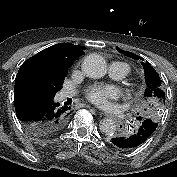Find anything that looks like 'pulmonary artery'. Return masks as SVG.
Wrapping results in <instances>:
<instances>
[{
	"label": "pulmonary artery",
	"instance_id": "pulmonary-artery-1",
	"mask_svg": "<svg viewBox=\"0 0 177 177\" xmlns=\"http://www.w3.org/2000/svg\"><path fill=\"white\" fill-rule=\"evenodd\" d=\"M129 74V67L123 62H113L109 68V77L113 80H121ZM72 91H64L61 93V98L72 96Z\"/></svg>",
	"mask_w": 177,
	"mask_h": 177
}]
</instances>
